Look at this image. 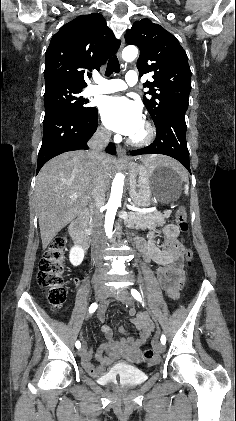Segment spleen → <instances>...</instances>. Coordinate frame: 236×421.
<instances>
[{"label":"spleen","mask_w":236,"mask_h":421,"mask_svg":"<svg viewBox=\"0 0 236 421\" xmlns=\"http://www.w3.org/2000/svg\"><path fill=\"white\" fill-rule=\"evenodd\" d=\"M172 166V164H170ZM172 168H176V166H172ZM184 192L185 194H189V186L188 184H184Z\"/></svg>","instance_id":"spleen-1"}]
</instances>
